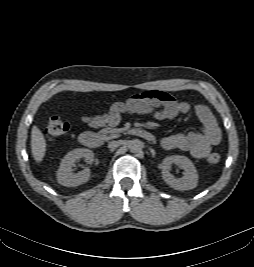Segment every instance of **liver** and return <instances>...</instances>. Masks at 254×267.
Returning a JSON list of instances; mask_svg holds the SVG:
<instances>
[{
  "mask_svg": "<svg viewBox=\"0 0 254 267\" xmlns=\"http://www.w3.org/2000/svg\"><path fill=\"white\" fill-rule=\"evenodd\" d=\"M46 145V140L41 130L37 126H33L31 131V152L37 163L43 160L46 153Z\"/></svg>",
  "mask_w": 254,
  "mask_h": 267,
  "instance_id": "obj_1",
  "label": "liver"
}]
</instances>
